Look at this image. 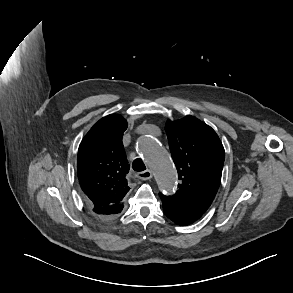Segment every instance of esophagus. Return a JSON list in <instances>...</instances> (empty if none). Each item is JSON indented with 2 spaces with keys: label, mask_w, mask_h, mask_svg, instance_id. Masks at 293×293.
<instances>
[{
  "label": "esophagus",
  "mask_w": 293,
  "mask_h": 293,
  "mask_svg": "<svg viewBox=\"0 0 293 293\" xmlns=\"http://www.w3.org/2000/svg\"><path fill=\"white\" fill-rule=\"evenodd\" d=\"M136 177L141 179V180H148L150 178H152V172L150 170H145L142 172H138L136 174Z\"/></svg>",
  "instance_id": "obj_1"
}]
</instances>
